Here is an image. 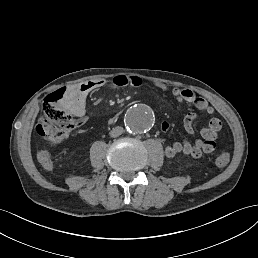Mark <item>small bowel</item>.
I'll list each match as a JSON object with an SVG mask.
<instances>
[{
	"label": "small bowel",
	"instance_id": "small-bowel-1",
	"mask_svg": "<svg viewBox=\"0 0 258 258\" xmlns=\"http://www.w3.org/2000/svg\"><path fill=\"white\" fill-rule=\"evenodd\" d=\"M105 84L106 81L104 79H94L77 85H72L67 88L65 97L61 102V106L73 115L83 117L85 115V106L88 95L100 89ZM112 84L116 87H138L142 84V80L136 76L118 75L113 78ZM156 86L164 91L168 89L166 85L161 83H157ZM171 93L178 102L191 103L197 110L205 111L209 117V122L201 131L202 139H198L194 142L184 139L182 141L166 145L164 148L165 156L173 158L179 154H183L192 158H199L203 154L212 153L216 147V139L222 128L220 120L214 116V109L209 106L208 102L204 98L198 97L190 89L174 87L171 89ZM196 118L197 115L195 113H189L184 119V127L189 134L194 133V123ZM161 128L163 131H166L169 128V124L167 122H163ZM37 159L45 170L49 171L53 169L54 161L49 150H40L37 153Z\"/></svg>",
	"mask_w": 258,
	"mask_h": 258
}]
</instances>
